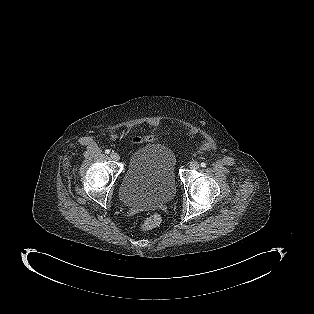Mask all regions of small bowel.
<instances>
[{
	"instance_id": "c3829d8e",
	"label": "small bowel",
	"mask_w": 314,
	"mask_h": 314,
	"mask_svg": "<svg viewBox=\"0 0 314 314\" xmlns=\"http://www.w3.org/2000/svg\"><path fill=\"white\" fill-rule=\"evenodd\" d=\"M156 135L154 134H150V135H147V136H144V137H135L133 140H132V143L133 144H137L139 142H142V141H154L156 140Z\"/></svg>"
}]
</instances>
